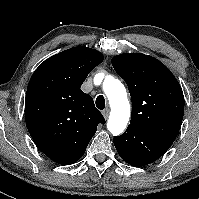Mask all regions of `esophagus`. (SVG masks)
Wrapping results in <instances>:
<instances>
[{
    "mask_svg": "<svg viewBox=\"0 0 199 199\" xmlns=\"http://www.w3.org/2000/svg\"><path fill=\"white\" fill-rule=\"evenodd\" d=\"M109 112H110V110L108 108L102 111V114L105 119H107L109 117Z\"/></svg>",
    "mask_w": 199,
    "mask_h": 199,
    "instance_id": "1",
    "label": "esophagus"
}]
</instances>
